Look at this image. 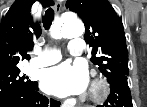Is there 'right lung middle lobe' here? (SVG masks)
<instances>
[{"instance_id":"right-lung-middle-lobe-1","label":"right lung middle lobe","mask_w":147,"mask_h":107,"mask_svg":"<svg viewBox=\"0 0 147 107\" xmlns=\"http://www.w3.org/2000/svg\"><path fill=\"white\" fill-rule=\"evenodd\" d=\"M35 84V81L28 80V77L20 74L18 65L1 70L0 99L23 90L32 89Z\"/></svg>"}]
</instances>
